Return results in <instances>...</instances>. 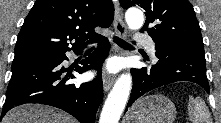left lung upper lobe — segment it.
Returning <instances> with one entry per match:
<instances>
[{
  "mask_svg": "<svg viewBox=\"0 0 221 123\" xmlns=\"http://www.w3.org/2000/svg\"><path fill=\"white\" fill-rule=\"evenodd\" d=\"M124 9L140 6L145 10L146 31L156 43L167 50H190L204 54L199 23L188 0H120Z\"/></svg>",
  "mask_w": 221,
  "mask_h": 123,
  "instance_id": "5c2ea615",
  "label": "left lung upper lobe"
}]
</instances>
